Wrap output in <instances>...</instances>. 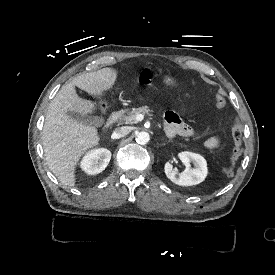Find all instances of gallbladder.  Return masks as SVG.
Wrapping results in <instances>:
<instances>
[{
  "instance_id": "1",
  "label": "gallbladder",
  "mask_w": 275,
  "mask_h": 275,
  "mask_svg": "<svg viewBox=\"0 0 275 275\" xmlns=\"http://www.w3.org/2000/svg\"><path fill=\"white\" fill-rule=\"evenodd\" d=\"M69 116L75 120H79L81 122H84L87 125L99 127L102 126L105 123L104 118L99 116H87L84 117L77 113H69Z\"/></svg>"
}]
</instances>
